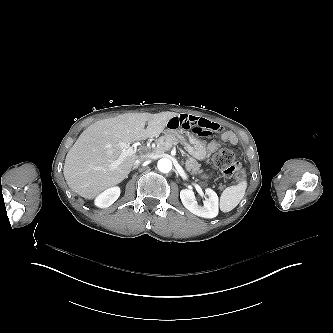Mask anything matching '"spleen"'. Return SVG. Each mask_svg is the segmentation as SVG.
<instances>
[{
	"mask_svg": "<svg viewBox=\"0 0 333 333\" xmlns=\"http://www.w3.org/2000/svg\"><path fill=\"white\" fill-rule=\"evenodd\" d=\"M246 189L247 181L245 179L237 185L225 188L220 196V210L224 213L232 211L243 199Z\"/></svg>",
	"mask_w": 333,
	"mask_h": 333,
	"instance_id": "obj_1",
	"label": "spleen"
}]
</instances>
